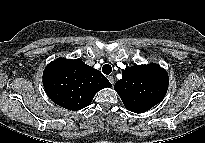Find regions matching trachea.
I'll use <instances>...</instances> for the list:
<instances>
[{
	"mask_svg": "<svg viewBox=\"0 0 205 143\" xmlns=\"http://www.w3.org/2000/svg\"><path fill=\"white\" fill-rule=\"evenodd\" d=\"M102 72L106 75H109L112 72V67L109 64H105L102 67Z\"/></svg>",
	"mask_w": 205,
	"mask_h": 143,
	"instance_id": "trachea-1",
	"label": "trachea"
}]
</instances>
